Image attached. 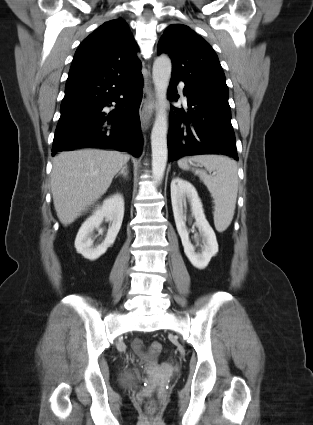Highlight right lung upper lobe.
<instances>
[{"mask_svg":"<svg viewBox=\"0 0 313 425\" xmlns=\"http://www.w3.org/2000/svg\"><path fill=\"white\" fill-rule=\"evenodd\" d=\"M137 45L122 18L105 22L83 40L74 55L69 76L107 71L130 73L141 68Z\"/></svg>","mask_w":313,"mask_h":425,"instance_id":"right-lung-upper-lobe-1","label":"right lung upper lobe"}]
</instances>
